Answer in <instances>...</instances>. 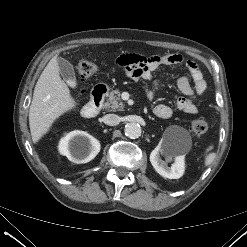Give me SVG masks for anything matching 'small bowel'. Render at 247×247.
<instances>
[{"instance_id": "c3829d8e", "label": "small bowel", "mask_w": 247, "mask_h": 247, "mask_svg": "<svg viewBox=\"0 0 247 247\" xmlns=\"http://www.w3.org/2000/svg\"><path fill=\"white\" fill-rule=\"evenodd\" d=\"M183 61L184 59L180 54L143 57L138 54L128 53L121 55L116 62L134 80L150 82L149 85H145V91L147 96L152 99L156 91L163 85L160 80H153V72L161 67L177 65ZM186 66L193 81V87L190 84V78L188 76H181L177 80V87L183 96L177 98L176 106L184 113L194 114L197 112V107L192 99L195 96L203 94L207 85L200 69L194 61H186ZM154 113L159 118L167 119L171 117L173 111L168 105L158 104L154 108Z\"/></svg>"}]
</instances>
